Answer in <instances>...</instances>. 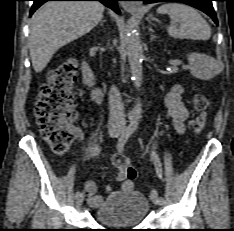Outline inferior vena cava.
I'll use <instances>...</instances> for the list:
<instances>
[{
	"label": "inferior vena cava",
	"instance_id": "obj_1",
	"mask_svg": "<svg viewBox=\"0 0 234 231\" xmlns=\"http://www.w3.org/2000/svg\"><path fill=\"white\" fill-rule=\"evenodd\" d=\"M109 108L110 126H124L125 125V114L123 111L122 98L118 89L114 86L111 87L109 93Z\"/></svg>",
	"mask_w": 234,
	"mask_h": 231
}]
</instances>
